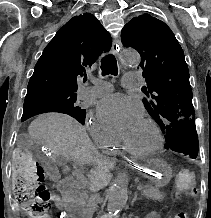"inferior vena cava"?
<instances>
[{
    "label": "inferior vena cava",
    "instance_id": "inferior-vena-cava-1",
    "mask_svg": "<svg viewBox=\"0 0 211 218\" xmlns=\"http://www.w3.org/2000/svg\"><path fill=\"white\" fill-rule=\"evenodd\" d=\"M89 186H90L89 190H90L91 194H90V198L88 200L87 210H88V212H94L96 200L98 198L97 192H99V190H101V188H103V184H102V182H94V180H91V178H90Z\"/></svg>",
    "mask_w": 211,
    "mask_h": 218
}]
</instances>
